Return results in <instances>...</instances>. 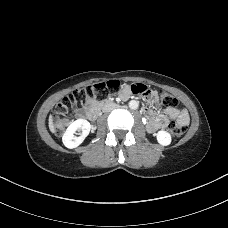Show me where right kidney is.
Returning a JSON list of instances; mask_svg holds the SVG:
<instances>
[{"instance_id":"right-kidney-1","label":"right kidney","mask_w":228,"mask_h":228,"mask_svg":"<svg viewBox=\"0 0 228 228\" xmlns=\"http://www.w3.org/2000/svg\"><path fill=\"white\" fill-rule=\"evenodd\" d=\"M90 129L91 125L85 119H78L72 122L63 134V144L69 149L78 147L84 141L85 137L89 134ZM77 130L83 131L80 137H76L74 135Z\"/></svg>"}]
</instances>
